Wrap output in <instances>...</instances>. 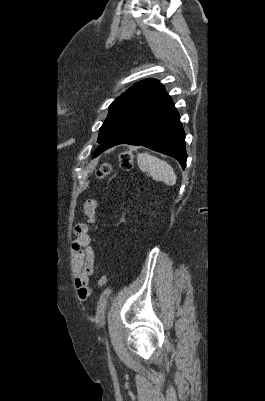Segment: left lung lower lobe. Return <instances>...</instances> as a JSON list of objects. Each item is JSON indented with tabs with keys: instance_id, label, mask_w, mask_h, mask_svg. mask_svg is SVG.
Wrapping results in <instances>:
<instances>
[{
	"instance_id": "obj_1",
	"label": "left lung lower lobe",
	"mask_w": 265,
	"mask_h": 401,
	"mask_svg": "<svg viewBox=\"0 0 265 401\" xmlns=\"http://www.w3.org/2000/svg\"><path fill=\"white\" fill-rule=\"evenodd\" d=\"M119 144L145 146L175 158L183 169L186 166L185 132L166 92L127 119L100 144L93 157Z\"/></svg>"
}]
</instances>
